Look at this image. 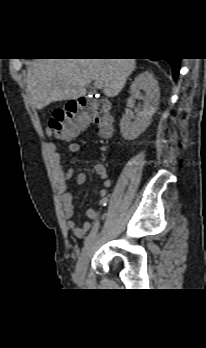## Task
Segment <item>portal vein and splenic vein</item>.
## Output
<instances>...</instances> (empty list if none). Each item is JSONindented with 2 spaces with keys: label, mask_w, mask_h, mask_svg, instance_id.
<instances>
[{
  "label": "portal vein and splenic vein",
  "mask_w": 206,
  "mask_h": 348,
  "mask_svg": "<svg viewBox=\"0 0 206 348\" xmlns=\"http://www.w3.org/2000/svg\"><path fill=\"white\" fill-rule=\"evenodd\" d=\"M103 86H104V84H103L102 81L97 80V81L94 82V87L95 88H102Z\"/></svg>",
  "instance_id": "18ae733b"
}]
</instances>
